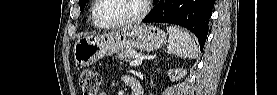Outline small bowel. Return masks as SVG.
Wrapping results in <instances>:
<instances>
[{"instance_id": "small-bowel-1", "label": "small bowel", "mask_w": 277, "mask_h": 95, "mask_svg": "<svg viewBox=\"0 0 277 95\" xmlns=\"http://www.w3.org/2000/svg\"><path fill=\"white\" fill-rule=\"evenodd\" d=\"M122 72L123 77L125 78V80H127L128 82L132 79L131 77H129L128 75H126L123 70H120ZM100 95H105V93H101Z\"/></svg>"}]
</instances>
